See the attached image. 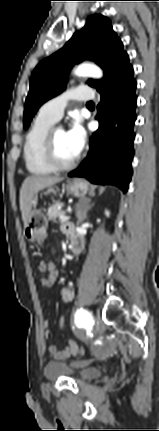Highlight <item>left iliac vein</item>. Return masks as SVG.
I'll list each match as a JSON object with an SVG mask.
<instances>
[{"label":"left iliac vein","mask_w":159,"mask_h":431,"mask_svg":"<svg viewBox=\"0 0 159 431\" xmlns=\"http://www.w3.org/2000/svg\"><path fill=\"white\" fill-rule=\"evenodd\" d=\"M94 322H95V324L97 325V326H101V324H102V321H101V318H100V316L99 315H96L95 317H94ZM88 363V362H87Z\"/></svg>","instance_id":"left-iliac-vein-1"}]
</instances>
